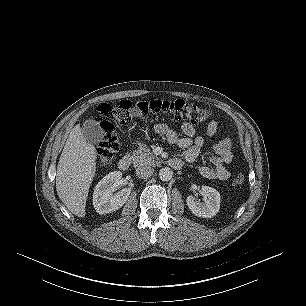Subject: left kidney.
Masks as SVG:
<instances>
[{
	"mask_svg": "<svg viewBox=\"0 0 306 306\" xmlns=\"http://www.w3.org/2000/svg\"><path fill=\"white\" fill-rule=\"evenodd\" d=\"M201 189L204 195L203 201L193 196H188L186 199L187 206L194 215L202 218H211L220 209V193L209 186H202Z\"/></svg>",
	"mask_w": 306,
	"mask_h": 306,
	"instance_id": "5707ae66",
	"label": "left kidney"
}]
</instances>
